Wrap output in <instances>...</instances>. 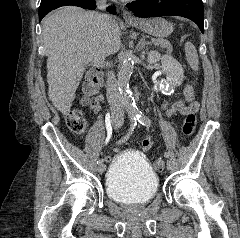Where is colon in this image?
Listing matches in <instances>:
<instances>
[{
    "mask_svg": "<svg viewBox=\"0 0 240 238\" xmlns=\"http://www.w3.org/2000/svg\"><path fill=\"white\" fill-rule=\"evenodd\" d=\"M102 86V74L100 71H92L86 77L84 83V103L90 105L92 100L96 97ZM184 96L185 98L192 102L194 100V85L188 83L184 87ZM66 124L69 130L75 135H82L87 127V121L83 112L79 109H73L66 116ZM196 128V116L191 113L185 116L182 132L184 135H192ZM165 166V161L162 158H158L154 161V168L158 171H162Z\"/></svg>",
    "mask_w": 240,
    "mask_h": 238,
    "instance_id": "1",
    "label": "colon"
}]
</instances>
